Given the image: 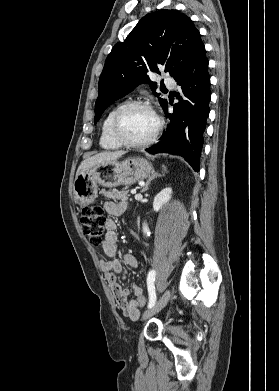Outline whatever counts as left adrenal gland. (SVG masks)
<instances>
[{"mask_svg":"<svg viewBox=\"0 0 279 391\" xmlns=\"http://www.w3.org/2000/svg\"><path fill=\"white\" fill-rule=\"evenodd\" d=\"M160 176H161L160 174L153 173V174L151 175V177H149V179L147 180V182H146V184H145V186H144V188L142 189L141 192L143 193V192L147 191L150 182H151L153 179H155V178H157V177H160Z\"/></svg>","mask_w":279,"mask_h":391,"instance_id":"a2214340","label":"left adrenal gland"}]
</instances>
